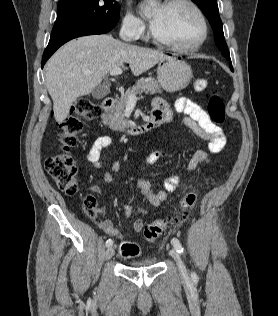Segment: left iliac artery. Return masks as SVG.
Instances as JSON below:
<instances>
[{
	"instance_id": "obj_1",
	"label": "left iliac artery",
	"mask_w": 278,
	"mask_h": 316,
	"mask_svg": "<svg viewBox=\"0 0 278 316\" xmlns=\"http://www.w3.org/2000/svg\"><path fill=\"white\" fill-rule=\"evenodd\" d=\"M171 243L174 246V248L177 250L178 253H183L184 252V248L182 247L180 241L177 238H173L171 240ZM192 276H195V274L192 273Z\"/></svg>"
}]
</instances>
